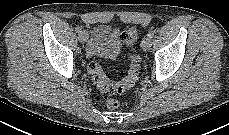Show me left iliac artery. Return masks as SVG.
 Returning a JSON list of instances; mask_svg holds the SVG:
<instances>
[{
    "label": "left iliac artery",
    "mask_w": 229,
    "mask_h": 135,
    "mask_svg": "<svg viewBox=\"0 0 229 135\" xmlns=\"http://www.w3.org/2000/svg\"><path fill=\"white\" fill-rule=\"evenodd\" d=\"M148 37L152 38L154 36V32L153 31H150L148 34H147Z\"/></svg>",
    "instance_id": "left-iliac-artery-1"
}]
</instances>
